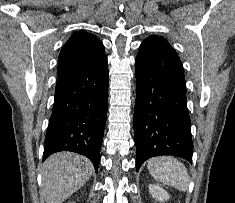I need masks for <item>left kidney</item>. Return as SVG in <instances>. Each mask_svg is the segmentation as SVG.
Wrapping results in <instances>:
<instances>
[{
    "mask_svg": "<svg viewBox=\"0 0 235 203\" xmlns=\"http://www.w3.org/2000/svg\"><path fill=\"white\" fill-rule=\"evenodd\" d=\"M148 188H149L150 194L156 200L160 202H164L170 199L168 192L161 186L156 185V184H149Z\"/></svg>",
    "mask_w": 235,
    "mask_h": 203,
    "instance_id": "left-kidney-1",
    "label": "left kidney"
}]
</instances>
